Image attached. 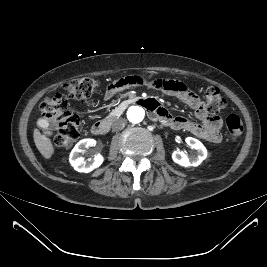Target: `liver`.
Here are the masks:
<instances>
[{"label":"liver","instance_id":"1","mask_svg":"<svg viewBox=\"0 0 267 267\" xmlns=\"http://www.w3.org/2000/svg\"><path fill=\"white\" fill-rule=\"evenodd\" d=\"M52 135L53 133L47 128H45L43 134H41L38 129H34L33 132L35 145L41 155L46 159H50L54 154V146L52 144L51 139L49 138V136Z\"/></svg>","mask_w":267,"mask_h":267}]
</instances>
